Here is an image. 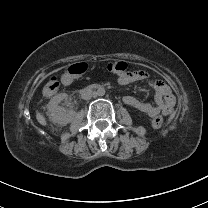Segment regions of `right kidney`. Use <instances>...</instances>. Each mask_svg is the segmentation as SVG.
I'll list each match as a JSON object with an SVG mask.
<instances>
[{
    "mask_svg": "<svg viewBox=\"0 0 208 208\" xmlns=\"http://www.w3.org/2000/svg\"><path fill=\"white\" fill-rule=\"evenodd\" d=\"M67 98V93H59L50 100L48 108L50 110V119L54 124L65 126L73 121L75 112L59 106L60 102Z\"/></svg>",
    "mask_w": 208,
    "mask_h": 208,
    "instance_id": "right-kidney-1",
    "label": "right kidney"
}]
</instances>
